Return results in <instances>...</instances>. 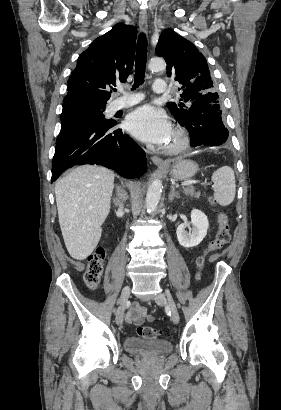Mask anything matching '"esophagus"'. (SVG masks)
Here are the masks:
<instances>
[{"label": "esophagus", "mask_w": 281, "mask_h": 410, "mask_svg": "<svg viewBox=\"0 0 281 410\" xmlns=\"http://www.w3.org/2000/svg\"><path fill=\"white\" fill-rule=\"evenodd\" d=\"M139 27L142 32H147L148 28V15L146 10H141L139 13ZM152 162L158 167H165L167 163L158 156L151 157Z\"/></svg>", "instance_id": "esophagus-1"}]
</instances>
